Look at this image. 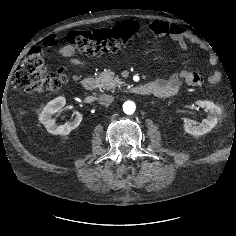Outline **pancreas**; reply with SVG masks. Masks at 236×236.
<instances>
[{
    "instance_id": "pancreas-1",
    "label": "pancreas",
    "mask_w": 236,
    "mask_h": 236,
    "mask_svg": "<svg viewBox=\"0 0 236 236\" xmlns=\"http://www.w3.org/2000/svg\"><path fill=\"white\" fill-rule=\"evenodd\" d=\"M97 80L99 82V86L107 90L124 85V82H122L118 76H115L114 72L109 69L101 72L98 75Z\"/></svg>"
}]
</instances>
